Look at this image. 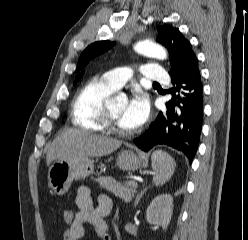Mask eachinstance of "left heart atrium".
<instances>
[{
	"label": "left heart atrium",
	"instance_id": "1",
	"mask_svg": "<svg viewBox=\"0 0 248 240\" xmlns=\"http://www.w3.org/2000/svg\"><path fill=\"white\" fill-rule=\"evenodd\" d=\"M148 114V98L142 91L136 90L128 101L124 119L131 128H137L146 121Z\"/></svg>",
	"mask_w": 248,
	"mask_h": 240
}]
</instances>
